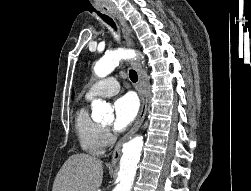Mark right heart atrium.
Segmentation results:
<instances>
[{
	"instance_id": "obj_1",
	"label": "right heart atrium",
	"mask_w": 251,
	"mask_h": 191,
	"mask_svg": "<svg viewBox=\"0 0 251 191\" xmlns=\"http://www.w3.org/2000/svg\"><path fill=\"white\" fill-rule=\"evenodd\" d=\"M103 140L105 145H110L113 141L109 128L103 127Z\"/></svg>"
}]
</instances>
